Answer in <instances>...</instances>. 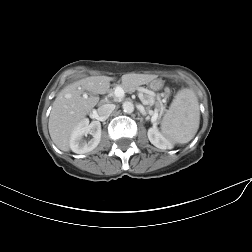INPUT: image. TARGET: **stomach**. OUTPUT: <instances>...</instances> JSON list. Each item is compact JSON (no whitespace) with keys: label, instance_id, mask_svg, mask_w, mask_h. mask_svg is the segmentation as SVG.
Returning <instances> with one entry per match:
<instances>
[{"label":"stomach","instance_id":"stomach-1","mask_svg":"<svg viewBox=\"0 0 252 252\" xmlns=\"http://www.w3.org/2000/svg\"><path fill=\"white\" fill-rule=\"evenodd\" d=\"M149 87L152 90H160L163 87V83L161 80H152L149 84Z\"/></svg>","mask_w":252,"mask_h":252}]
</instances>
